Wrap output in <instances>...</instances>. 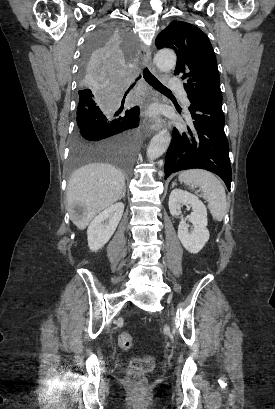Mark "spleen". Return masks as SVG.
Here are the masks:
<instances>
[{
    "instance_id": "1",
    "label": "spleen",
    "mask_w": 275,
    "mask_h": 409,
    "mask_svg": "<svg viewBox=\"0 0 275 409\" xmlns=\"http://www.w3.org/2000/svg\"><path fill=\"white\" fill-rule=\"evenodd\" d=\"M180 182L188 184L191 188L200 186L203 198L208 202V209L216 221H222L227 209L226 192L219 178H216L212 172L201 170V168H192L184 170L179 174Z\"/></svg>"
}]
</instances>
